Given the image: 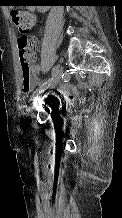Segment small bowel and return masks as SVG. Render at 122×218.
Returning <instances> with one entry per match:
<instances>
[{
	"mask_svg": "<svg viewBox=\"0 0 122 218\" xmlns=\"http://www.w3.org/2000/svg\"><path fill=\"white\" fill-rule=\"evenodd\" d=\"M31 73H32V79H33V86L36 87L39 83V78L41 74V67L35 63V53L32 51L31 54ZM62 95L67 99H72L71 95V89L69 87H63L61 88Z\"/></svg>",
	"mask_w": 122,
	"mask_h": 218,
	"instance_id": "small-bowel-1",
	"label": "small bowel"
}]
</instances>
